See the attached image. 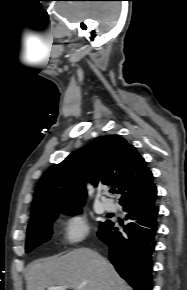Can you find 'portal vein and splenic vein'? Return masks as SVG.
<instances>
[{"mask_svg":"<svg viewBox=\"0 0 187 290\" xmlns=\"http://www.w3.org/2000/svg\"><path fill=\"white\" fill-rule=\"evenodd\" d=\"M67 286H56V287H48V290H66Z\"/></svg>","mask_w":187,"mask_h":290,"instance_id":"portal-vein-and-splenic-vein-1","label":"portal vein and splenic vein"}]
</instances>
